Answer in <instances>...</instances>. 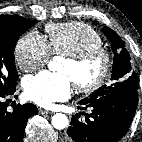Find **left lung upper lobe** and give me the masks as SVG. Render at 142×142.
Here are the masks:
<instances>
[{
    "mask_svg": "<svg viewBox=\"0 0 142 142\" xmlns=\"http://www.w3.org/2000/svg\"><path fill=\"white\" fill-rule=\"evenodd\" d=\"M104 34L111 42L112 51L114 52L112 83L110 85L101 86L88 98L82 99L83 101L97 99L127 88H138L137 74L132 69L131 58L128 51L124 48V42L118 34L109 27H104Z\"/></svg>",
    "mask_w": 142,
    "mask_h": 142,
    "instance_id": "obj_1",
    "label": "left lung upper lobe"
}]
</instances>
